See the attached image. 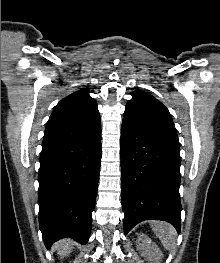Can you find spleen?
Segmentation results:
<instances>
[{"mask_svg": "<svg viewBox=\"0 0 220 263\" xmlns=\"http://www.w3.org/2000/svg\"><path fill=\"white\" fill-rule=\"evenodd\" d=\"M151 228L167 250H175L176 247V230L166 222L154 221Z\"/></svg>", "mask_w": 220, "mask_h": 263, "instance_id": "3e777b00", "label": "spleen"}]
</instances>
